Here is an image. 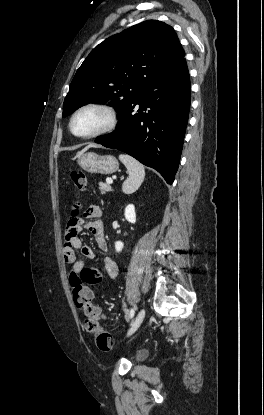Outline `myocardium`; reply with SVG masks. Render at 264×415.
<instances>
[{
	"label": "myocardium",
	"instance_id": "f54148a6",
	"mask_svg": "<svg viewBox=\"0 0 264 415\" xmlns=\"http://www.w3.org/2000/svg\"><path fill=\"white\" fill-rule=\"evenodd\" d=\"M86 109L101 110L107 115L108 120H107V123L102 128H100V129H98V130H96V131H94L90 134L81 135V134H78L74 131L73 124H74V120L77 117V115L79 113H81L82 111L86 110ZM117 125H118V114H117L116 110L112 106H110L108 104H105V103H87V104H84V105L80 106L72 114V116L70 118V122H69V128H70V131L72 132V134L75 135L76 137H79V138H82V139H92V138H96V137H99V136H102V135H105V134H109V133H111L112 131L115 130Z\"/></svg>",
	"mask_w": 264,
	"mask_h": 415
}]
</instances>
